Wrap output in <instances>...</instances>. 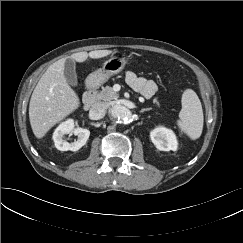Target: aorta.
<instances>
[{
  "label": "aorta",
  "mask_w": 243,
  "mask_h": 243,
  "mask_svg": "<svg viewBox=\"0 0 243 243\" xmlns=\"http://www.w3.org/2000/svg\"><path fill=\"white\" fill-rule=\"evenodd\" d=\"M110 115L122 123H129L132 120L131 111L122 105H114L110 109Z\"/></svg>",
  "instance_id": "obj_1"
}]
</instances>
